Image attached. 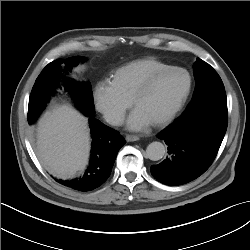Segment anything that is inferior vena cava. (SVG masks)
Returning <instances> with one entry per match:
<instances>
[{
  "label": "inferior vena cava",
  "mask_w": 250,
  "mask_h": 250,
  "mask_svg": "<svg viewBox=\"0 0 250 250\" xmlns=\"http://www.w3.org/2000/svg\"><path fill=\"white\" fill-rule=\"evenodd\" d=\"M105 119L109 124L119 126L124 122V115L118 112H110L105 116Z\"/></svg>",
  "instance_id": "1"
}]
</instances>
